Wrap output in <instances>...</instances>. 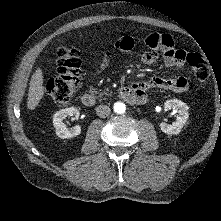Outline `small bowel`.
Listing matches in <instances>:
<instances>
[{"label": "small bowel", "mask_w": 221, "mask_h": 221, "mask_svg": "<svg viewBox=\"0 0 221 221\" xmlns=\"http://www.w3.org/2000/svg\"><path fill=\"white\" fill-rule=\"evenodd\" d=\"M147 50L142 55V61L146 65L154 64L162 53L164 63L167 67L184 66L186 53L183 50L176 49L174 41L170 35L153 33L145 39ZM135 47L134 39L131 36H122L114 42V48L118 51H131ZM111 58V52L105 51L94 74H99L106 69ZM140 96L142 103L146 100V93L149 90H169L176 93H183L188 90L189 84L184 76L174 78L153 77L147 81L135 82L130 86Z\"/></svg>", "instance_id": "small-bowel-1"}]
</instances>
